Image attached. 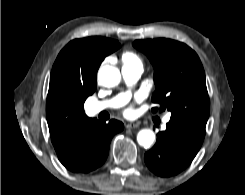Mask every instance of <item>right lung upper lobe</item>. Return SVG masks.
<instances>
[{
	"instance_id": "cb5924a9",
	"label": "right lung upper lobe",
	"mask_w": 245,
	"mask_h": 195,
	"mask_svg": "<svg viewBox=\"0 0 245 195\" xmlns=\"http://www.w3.org/2000/svg\"><path fill=\"white\" fill-rule=\"evenodd\" d=\"M116 40L88 37L69 42L51 71L46 117L57 155L70 150L83 128L91 122L84 102L97 87V71L104 58L117 50Z\"/></svg>"
}]
</instances>
